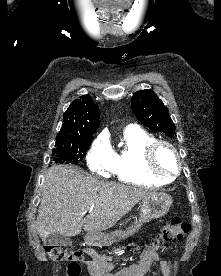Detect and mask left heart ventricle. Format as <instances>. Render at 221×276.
Instances as JSON below:
<instances>
[{
	"label": "left heart ventricle",
	"mask_w": 221,
	"mask_h": 276,
	"mask_svg": "<svg viewBox=\"0 0 221 276\" xmlns=\"http://www.w3.org/2000/svg\"><path fill=\"white\" fill-rule=\"evenodd\" d=\"M157 163L164 171L173 172L176 170V159L173 153L166 147H162L158 151Z\"/></svg>",
	"instance_id": "b2bd125f"
}]
</instances>
